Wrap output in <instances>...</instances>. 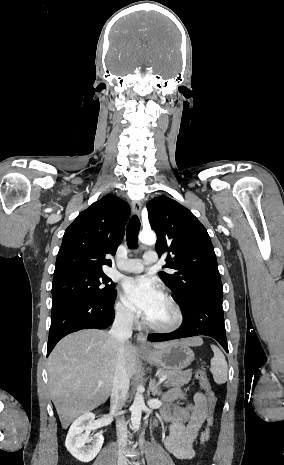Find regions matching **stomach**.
I'll return each instance as SVG.
<instances>
[{
    "label": "stomach",
    "instance_id": "0dacf381",
    "mask_svg": "<svg viewBox=\"0 0 284 465\" xmlns=\"http://www.w3.org/2000/svg\"><path fill=\"white\" fill-rule=\"evenodd\" d=\"M142 357L155 367L173 369V371L186 369L194 361V353L188 345H185L184 341H171L165 349L145 351Z\"/></svg>",
    "mask_w": 284,
    "mask_h": 465
}]
</instances>
